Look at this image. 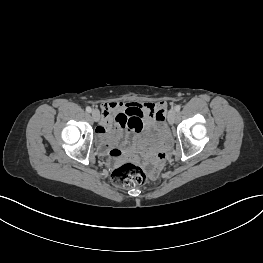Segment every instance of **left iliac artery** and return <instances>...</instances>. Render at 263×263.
Segmentation results:
<instances>
[{
  "label": "left iliac artery",
  "instance_id": "1",
  "mask_svg": "<svg viewBox=\"0 0 263 263\" xmlns=\"http://www.w3.org/2000/svg\"><path fill=\"white\" fill-rule=\"evenodd\" d=\"M180 109H181V106H180V105H177V106L175 107V110H176L177 112H179Z\"/></svg>",
  "mask_w": 263,
  "mask_h": 263
}]
</instances>
